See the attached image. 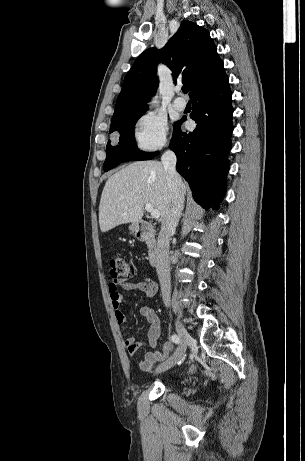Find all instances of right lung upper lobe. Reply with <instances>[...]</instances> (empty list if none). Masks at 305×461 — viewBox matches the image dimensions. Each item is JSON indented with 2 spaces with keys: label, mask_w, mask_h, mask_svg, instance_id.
Instances as JSON below:
<instances>
[{
  "label": "right lung upper lobe",
  "mask_w": 305,
  "mask_h": 461,
  "mask_svg": "<svg viewBox=\"0 0 305 461\" xmlns=\"http://www.w3.org/2000/svg\"><path fill=\"white\" fill-rule=\"evenodd\" d=\"M158 62L171 69L174 82L180 80L189 86L190 97L225 72L209 32L196 23L183 21L161 50L150 48L135 60L123 81L110 129L146 112V102L158 87Z\"/></svg>",
  "instance_id": "cb5924a9"
}]
</instances>
